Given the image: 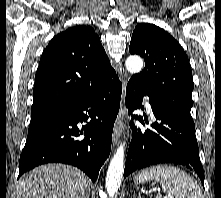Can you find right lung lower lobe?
I'll return each mask as SVG.
<instances>
[{
  "mask_svg": "<svg viewBox=\"0 0 221 198\" xmlns=\"http://www.w3.org/2000/svg\"><path fill=\"white\" fill-rule=\"evenodd\" d=\"M121 93L117 79L81 102L31 123L20 156L19 177L38 165L58 162L78 167L95 182L110 154ZM78 122L87 125L79 129ZM81 135L85 137L79 138Z\"/></svg>",
  "mask_w": 221,
  "mask_h": 198,
  "instance_id": "right-lung-lower-lobe-1",
  "label": "right lung lower lobe"
}]
</instances>
